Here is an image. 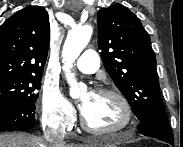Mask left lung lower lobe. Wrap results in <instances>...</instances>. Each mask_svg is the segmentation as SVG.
I'll return each mask as SVG.
<instances>
[{"label": "left lung lower lobe", "mask_w": 183, "mask_h": 147, "mask_svg": "<svg viewBox=\"0 0 183 147\" xmlns=\"http://www.w3.org/2000/svg\"><path fill=\"white\" fill-rule=\"evenodd\" d=\"M138 131L145 136L155 137L173 145L174 138L168 120L158 118L145 119L140 121Z\"/></svg>", "instance_id": "0a47b994"}]
</instances>
